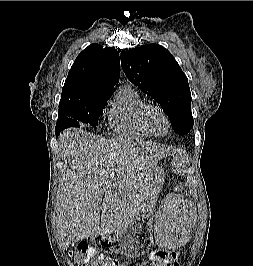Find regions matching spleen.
I'll return each instance as SVG.
<instances>
[{
    "instance_id": "obj_1",
    "label": "spleen",
    "mask_w": 253,
    "mask_h": 266,
    "mask_svg": "<svg viewBox=\"0 0 253 266\" xmlns=\"http://www.w3.org/2000/svg\"><path fill=\"white\" fill-rule=\"evenodd\" d=\"M185 160H178V169L184 168ZM176 199H193V190H176ZM196 211L190 207H159L153 218V232L157 246L168 248H185L187 242H193V233H187L192 228Z\"/></svg>"
}]
</instances>
